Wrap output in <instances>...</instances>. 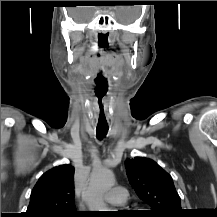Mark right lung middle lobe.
Returning <instances> with one entry per match:
<instances>
[{
    "label": "right lung middle lobe",
    "instance_id": "right-lung-middle-lobe-1",
    "mask_svg": "<svg viewBox=\"0 0 217 217\" xmlns=\"http://www.w3.org/2000/svg\"><path fill=\"white\" fill-rule=\"evenodd\" d=\"M77 216H78V214L77 215H63L61 217H77Z\"/></svg>",
    "mask_w": 217,
    "mask_h": 217
}]
</instances>
